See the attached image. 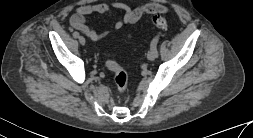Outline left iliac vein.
<instances>
[{"instance_id":"obj_1","label":"left iliac vein","mask_w":253,"mask_h":138,"mask_svg":"<svg viewBox=\"0 0 253 138\" xmlns=\"http://www.w3.org/2000/svg\"><path fill=\"white\" fill-rule=\"evenodd\" d=\"M156 57H157V50L155 48H150L147 54L148 60L153 61L155 60Z\"/></svg>"}]
</instances>
